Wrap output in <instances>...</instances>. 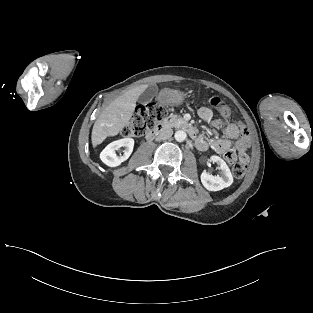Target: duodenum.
Wrapping results in <instances>:
<instances>
[{
  "instance_id": "1",
  "label": "duodenum",
  "mask_w": 313,
  "mask_h": 313,
  "mask_svg": "<svg viewBox=\"0 0 313 313\" xmlns=\"http://www.w3.org/2000/svg\"><path fill=\"white\" fill-rule=\"evenodd\" d=\"M175 124L185 130L191 137L193 138H197V133L195 128L188 122L184 121V120H177L175 122ZM170 124L169 123H160L159 125H157L152 131H150L147 135L146 138L148 140H153L157 137H160L161 135L164 134V132L169 128Z\"/></svg>"
}]
</instances>
